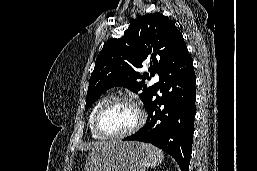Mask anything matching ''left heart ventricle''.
Instances as JSON below:
<instances>
[{
    "label": "left heart ventricle",
    "mask_w": 257,
    "mask_h": 171,
    "mask_svg": "<svg viewBox=\"0 0 257 171\" xmlns=\"http://www.w3.org/2000/svg\"><path fill=\"white\" fill-rule=\"evenodd\" d=\"M138 121L136 109L121 102L108 107L100 117V127L108 134H120L130 130Z\"/></svg>",
    "instance_id": "obj_1"
}]
</instances>
